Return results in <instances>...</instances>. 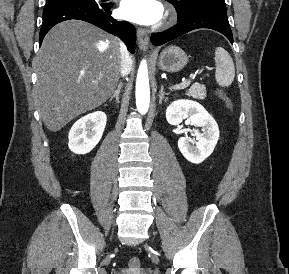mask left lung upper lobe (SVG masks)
Segmentation results:
<instances>
[{"mask_svg": "<svg viewBox=\"0 0 289 274\" xmlns=\"http://www.w3.org/2000/svg\"><path fill=\"white\" fill-rule=\"evenodd\" d=\"M170 2L178 13V21L185 20L202 11L226 12L224 0H166Z\"/></svg>", "mask_w": 289, "mask_h": 274, "instance_id": "1", "label": "left lung upper lobe"}]
</instances>
